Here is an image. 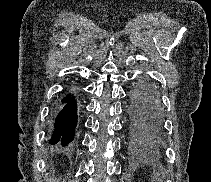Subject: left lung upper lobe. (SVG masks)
<instances>
[{"label": "left lung upper lobe", "instance_id": "left-lung-upper-lobe-1", "mask_svg": "<svg viewBox=\"0 0 211 182\" xmlns=\"http://www.w3.org/2000/svg\"><path fill=\"white\" fill-rule=\"evenodd\" d=\"M132 113L134 114L135 119H136L139 123H141L143 126H145V128H147V130H148L150 133H152V131L150 130V128L148 127V125H146L144 122H142V121L140 120V118L138 117V115H137V110H136L135 107H133Z\"/></svg>", "mask_w": 211, "mask_h": 182}]
</instances>
